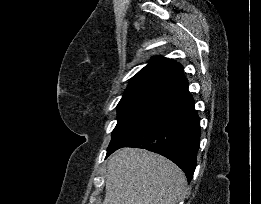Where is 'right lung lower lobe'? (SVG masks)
<instances>
[{"instance_id":"1","label":"right lung lower lobe","mask_w":261,"mask_h":204,"mask_svg":"<svg viewBox=\"0 0 261 204\" xmlns=\"http://www.w3.org/2000/svg\"><path fill=\"white\" fill-rule=\"evenodd\" d=\"M199 141V116L186 83L171 92L149 115L107 150V156L122 147L147 149L173 161L185 172L190 182L196 168Z\"/></svg>"}]
</instances>
